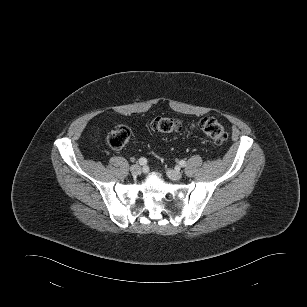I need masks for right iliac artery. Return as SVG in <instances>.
I'll use <instances>...</instances> for the list:
<instances>
[{"instance_id": "1", "label": "right iliac artery", "mask_w": 307, "mask_h": 307, "mask_svg": "<svg viewBox=\"0 0 307 307\" xmlns=\"http://www.w3.org/2000/svg\"><path fill=\"white\" fill-rule=\"evenodd\" d=\"M139 164L142 165V166L146 165V164H147V159L144 158V157H141V158L139 159Z\"/></svg>"}]
</instances>
